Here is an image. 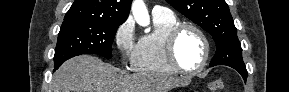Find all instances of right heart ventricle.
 Returning <instances> with one entry per match:
<instances>
[{
	"instance_id": "right-heart-ventricle-1",
	"label": "right heart ventricle",
	"mask_w": 289,
	"mask_h": 92,
	"mask_svg": "<svg viewBox=\"0 0 289 92\" xmlns=\"http://www.w3.org/2000/svg\"><path fill=\"white\" fill-rule=\"evenodd\" d=\"M173 13L153 14L154 30L143 35L137 43L133 68L138 72L171 75L175 71L164 53V40L168 31L179 24Z\"/></svg>"
}]
</instances>
